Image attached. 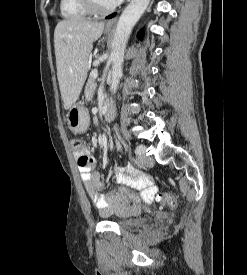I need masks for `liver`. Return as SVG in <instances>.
Here are the masks:
<instances>
[{"instance_id":"6515ba94","label":"liver","mask_w":247,"mask_h":275,"mask_svg":"<svg viewBox=\"0 0 247 275\" xmlns=\"http://www.w3.org/2000/svg\"><path fill=\"white\" fill-rule=\"evenodd\" d=\"M103 22L79 18L60 21L54 31L57 78L65 109L78 99L88 71L93 42L102 35Z\"/></svg>"}]
</instances>
